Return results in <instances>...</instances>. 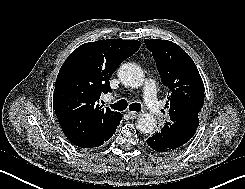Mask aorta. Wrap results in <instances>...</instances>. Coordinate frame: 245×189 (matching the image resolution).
I'll use <instances>...</instances> for the list:
<instances>
[{
    "label": "aorta",
    "instance_id": "1",
    "mask_svg": "<svg viewBox=\"0 0 245 189\" xmlns=\"http://www.w3.org/2000/svg\"><path fill=\"white\" fill-rule=\"evenodd\" d=\"M118 77L125 85L132 88L142 86L144 74L142 69L135 63H124L118 69ZM156 126L155 118L150 113L142 114L137 120V129L141 133L150 134Z\"/></svg>",
    "mask_w": 245,
    "mask_h": 189
}]
</instances>
